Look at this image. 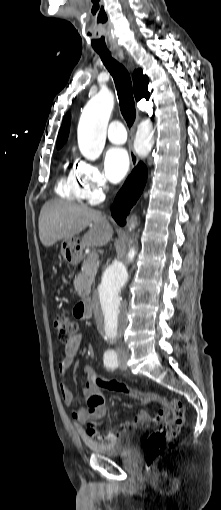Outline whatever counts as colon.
Here are the masks:
<instances>
[{"mask_svg":"<svg viewBox=\"0 0 221 510\" xmlns=\"http://www.w3.org/2000/svg\"><path fill=\"white\" fill-rule=\"evenodd\" d=\"M53 326L57 331L59 341L65 344L70 343L78 331L77 322L64 313L54 316ZM93 383L97 388L127 395L144 403H155L162 407L156 416L157 422L162 424L158 430L150 434L145 443L146 468L150 469L155 460L167 449L169 442L178 436L185 421V407L183 403L178 399L167 400L150 393H142L129 388L121 382L106 379L99 375L93 378ZM102 401L103 398L98 395H92L87 398L88 406L97 405ZM169 415L171 417L168 419Z\"/></svg>","mask_w":221,"mask_h":510,"instance_id":"5ec220e1","label":"colon"}]
</instances>
